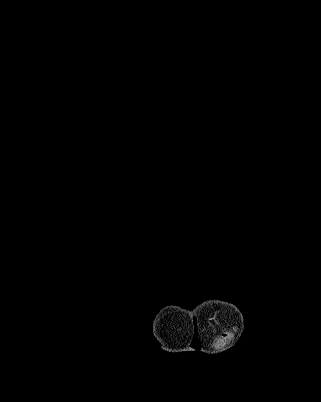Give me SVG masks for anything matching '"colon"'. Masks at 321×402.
Listing matches in <instances>:
<instances>
[{
	"label": "colon",
	"mask_w": 321,
	"mask_h": 402,
	"mask_svg": "<svg viewBox=\"0 0 321 402\" xmlns=\"http://www.w3.org/2000/svg\"><path fill=\"white\" fill-rule=\"evenodd\" d=\"M229 339H230V335H229V334H226V335H223L220 340L223 341V342H225V341H227V340H229Z\"/></svg>",
	"instance_id": "obj_1"
}]
</instances>
